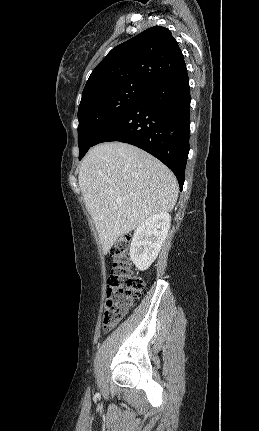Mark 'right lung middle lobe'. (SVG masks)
<instances>
[{"instance_id":"1","label":"right lung middle lobe","mask_w":259,"mask_h":431,"mask_svg":"<svg viewBox=\"0 0 259 431\" xmlns=\"http://www.w3.org/2000/svg\"><path fill=\"white\" fill-rule=\"evenodd\" d=\"M139 85H124L95 93L82 100L78 109L79 159L97 137L147 91Z\"/></svg>"}]
</instances>
